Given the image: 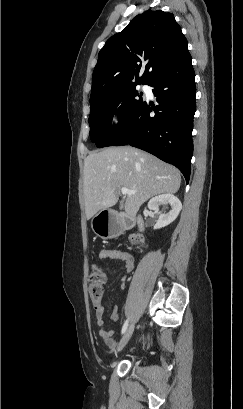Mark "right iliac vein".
<instances>
[{
	"mask_svg": "<svg viewBox=\"0 0 243 409\" xmlns=\"http://www.w3.org/2000/svg\"><path fill=\"white\" fill-rule=\"evenodd\" d=\"M134 328H135V325H134V323H132V324L128 327V329L125 331L124 335L122 336V338H121V340H120V342H119V344H118L117 351L115 352L116 355H117V353L120 352V351L126 346V344L129 342V340H130V338H131V336H132V334H133V332H134Z\"/></svg>",
	"mask_w": 243,
	"mask_h": 409,
	"instance_id": "1",
	"label": "right iliac vein"
}]
</instances>
